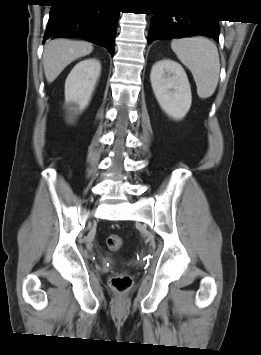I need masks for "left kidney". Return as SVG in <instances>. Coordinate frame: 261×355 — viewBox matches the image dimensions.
<instances>
[{
    "label": "left kidney",
    "mask_w": 261,
    "mask_h": 355,
    "mask_svg": "<svg viewBox=\"0 0 261 355\" xmlns=\"http://www.w3.org/2000/svg\"><path fill=\"white\" fill-rule=\"evenodd\" d=\"M151 86L161 109L175 120L188 113L191 88L183 67L170 59L156 62L151 69Z\"/></svg>",
    "instance_id": "5707ae66"
}]
</instances>
